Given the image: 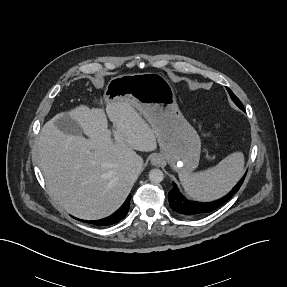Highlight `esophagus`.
Segmentation results:
<instances>
[{"label":"esophagus","mask_w":287,"mask_h":287,"mask_svg":"<svg viewBox=\"0 0 287 287\" xmlns=\"http://www.w3.org/2000/svg\"><path fill=\"white\" fill-rule=\"evenodd\" d=\"M162 158L160 155H154L151 158V163L155 166H159L161 164Z\"/></svg>","instance_id":"34e87169"}]
</instances>
